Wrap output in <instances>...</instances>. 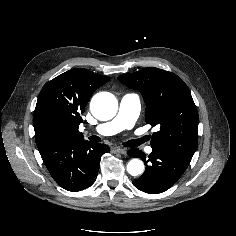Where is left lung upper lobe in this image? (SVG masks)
Returning <instances> with one entry per match:
<instances>
[{
  "mask_svg": "<svg viewBox=\"0 0 236 236\" xmlns=\"http://www.w3.org/2000/svg\"><path fill=\"white\" fill-rule=\"evenodd\" d=\"M118 80L142 94L146 123L160 127L149 137L151 145L192 158L198 144L199 118L184 81L154 67L121 75Z\"/></svg>",
  "mask_w": 236,
  "mask_h": 236,
  "instance_id": "obj_1",
  "label": "left lung upper lobe"
}]
</instances>
